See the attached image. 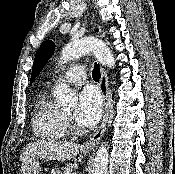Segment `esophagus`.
Instances as JSON below:
<instances>
[{
	"mask_svg": "<svg viewBox=\"0 0 175 174\" xmlns=\"http://www.w3.org/2000/svg\"><path fill=\"white\" fill-rule=\"evenodd\" d=\"M100 72H101V79H100L99 88L103 95V100H104L103 118L99 128L96 130L93 136L83 144V148L86 150H92L98 145L101 137L103 136L106 130V125L109 117L108 78H107V73L103 67H100Z\"/></svg>",
	"mask_w": 175,
	"mask_h": 174,
	"instance_id": "obj_1",
	"label": "esophagus"
}]
</instances>
